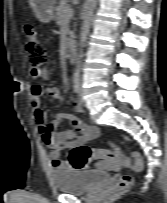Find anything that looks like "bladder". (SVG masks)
<instances>
[{"mask_svg":"<svg viewBox=\"0 0 167 203\" xmlns=\"http://www.w3.org/2000/svg\"><path fill=\"white\" fill-rule=\"evenodd\" d=\"M110 174L99 170L59 168L52 173L56 188L71 195L84 194L97 185L109 181Z\"/></svg>","mask_w":167,"mask_h":203,"instance_id":"bladder-1","label":"bladder"}]
</instances>
